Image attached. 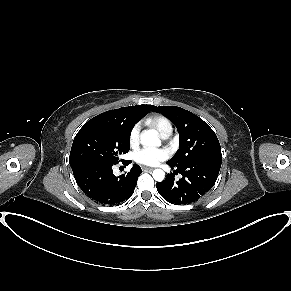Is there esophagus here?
<instances>
[{
	"mask_svg": "<svg viewBox=\"0 0 291 291\" xmlns=\"http://www.w3.org/2000/svg\"><path fill=\"white\" fill-rule=\"evenodd\" d=\"M142 170H143V171H153L154 168L143 166V167H142Z\"/></svg>",
	"mask_w": 291,
	"mask_h": 291,
	"instance_id": "esophagus-1",
	"label": "esophagus"
}]
</instances>
